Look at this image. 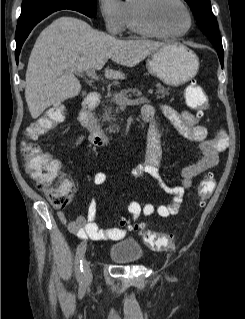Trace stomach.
<instances>
[{"mask_svg": "<svg viewBox=\"0 0 245 319\" xmlns=\"http://www.w3.org/2000/svg\"><path fill=\"white\" fill-rule=\"evenodd\" d=\"M146 66L152 75L166 84L179 86L196 75L199 59L186 46L171 43L153 51L147 59Z\"/></svg>", "mask_w": 245, "mask_h": 319, "instance_id": "0dacf381", "label": "stomach"}]
</instances>
